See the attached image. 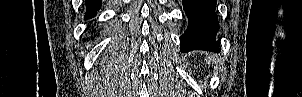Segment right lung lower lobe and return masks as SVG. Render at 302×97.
<instances>
[{
    "instance_id": "98d812e1",
    "label": "right lung lower lobe",
    "mask_w": 302,
    "mask_h": 97,
    "mask_svg": "<svg viewBox=\"0 0 302 97\" xmlns=\"http://www.w3.org/2000/svg\"><path fill=\"white\" fill-rule=\"evenodd\" d=\"M100 6V0H86L87 12L85 15V20L94 17L96 15V11L100 9Z\"/></svg>"
}]
</instances>
